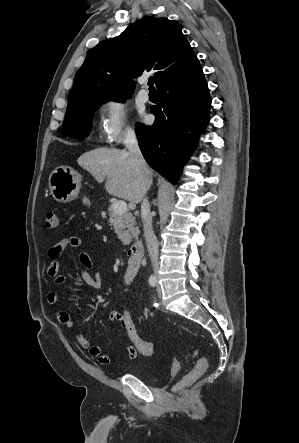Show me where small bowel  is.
I'll use <instances>...</instances> for the list:
<instances>
[{
    "label": "small bowel",
    "mask_w": 299,
    "mask_h": 443,
    "mask_svg": "<svg viewBox=\"0 0 299 443\" xmlns=\"http://www.w3.org/2000/svg\"><path fill=\"white\" fill-rule=\"evenodd\" d=\"M83 245L84 241L82 238L78 236H70L61 239L48 250V256L51 262L47 268V274L50 278L53 279V283L56 286H61L66 281V277L59 273V258L61 257L63 251L67 247L82 248ZM78 258L83 266V269L78 272L79 278L89 286L98 288L101 284V276L98 272H93L94 264L89 254L86 251L81 250L79 252ZM138 271L139 265H135L129 262L123 277L124 284L126 286H129L134 281L138 274ZM46 299L48 304L55 305L58 302V294L55 291H50L47 294ZM119 314L120 311H112L109 315L110 321L112 323H119L121 325ZM55 318L59 323L65 325L68 329H74L76 327L75 321L72 319L69 313L64 310H58L55 313ZM76 340L83 349H85L92 357L96 358V360L102 365H109L111 363H122L126 360H133L138 354L135 346L131 344L127 346L125 355L119 356L117 358H112L106 355L100 346L92 344L84 334L78 333L76 335Z\"/></svg>",
    "instance_id": "obj_1"
}]
</instances>
